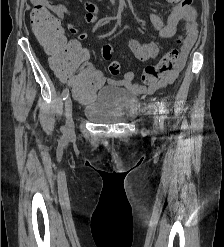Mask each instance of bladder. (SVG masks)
<instances>
[{
	"label": "bladder",
	"mask_w": 224,
	"mask_h": 247,
	"mask_svg": "<svg viewBox=\"0 0 224 247\" xmlns=\"http://www.w3.org/2000/svg\"><path fill=\"white\" fill-rule=\"evenodd\" d=\"M134 96L115 85L103 86L83 107V114L98 125H115L130 120L135 113Z\"/></svg>",
	"instance_id": "bladder-1"
}]
</instances>
